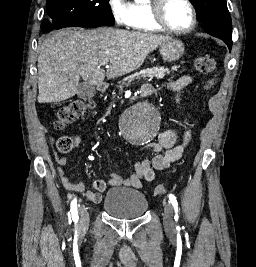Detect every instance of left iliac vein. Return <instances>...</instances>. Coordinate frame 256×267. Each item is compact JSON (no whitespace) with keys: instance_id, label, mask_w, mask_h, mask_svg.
<instances>
[{"instance_id":"1","label":"left iliac vein","mask_w":256,"mask_h":267,"mask_svg":"<svg viewBox=\"0 0 256 267\" xmlns=\"http://www.w3.org/2000/svg\"><path fill=\"white\" fill-rule=\"evenodd\" d=\"M163 208H164V216H163L164 225L167 230H172L175 227L173 221V207L170 204V202H164Z\"/></svg>"}]
</instances>
